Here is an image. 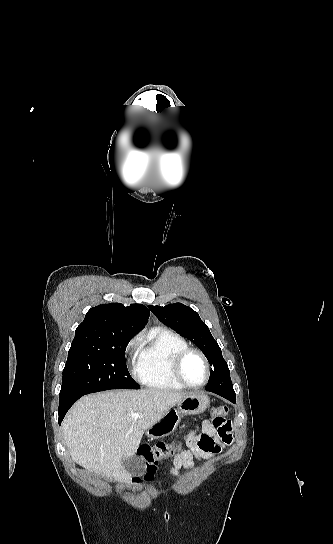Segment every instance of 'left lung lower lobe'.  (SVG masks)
<instances>
[{
  "label": "left lung lower lobe",
  "mask_w": 333,
  "mask_h": 544,
  "mask_svg": "<svg viewBox=\"0 0 333 544\" xmlns=\"http://www.w3.org/2000/svg\"><path fill=\"white\" fill-rule=\"evenodd\" d=\"M215 394H218L226 399H228L229 401H231L232 403H235L236 402V395H235V392H222V391H211Z\"/></svg>",
  "instance_id": "left-lung-lower-lobe-1"
}]
</instances>
